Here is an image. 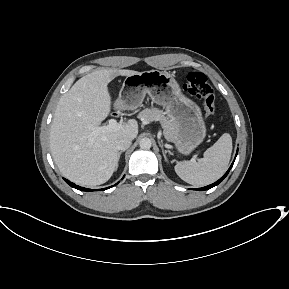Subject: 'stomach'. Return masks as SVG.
I'll return each instance as SVG.
<instances>
[{"label":"stomach","mask_w":289,"mask_h":289,"mask_svg":"<svg viewBox=\"0 0 289 289\" xmlns=\"http://www.w3.org/2000/svg\"><path fill=\"white\" fill-rule=\"evenodd\" d=\"M146 95L165 108L175 125L171 140L182 154L191 153L206 136V126L200 107L181 92L174 74L150 70L125 78L115 105L121 109L138 108Z\"/></svg>","instance_id":"stomach-1"}]
</instances>
